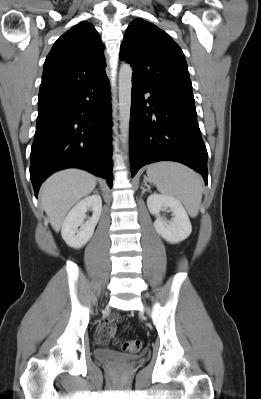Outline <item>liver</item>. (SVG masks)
<instances>
[{"label":"liver","instance_id":"obj_1","mask_svg":"<svg viewBox=\"0 0 261 399\" xmlns=\"http://www.w3.org/2000/svg\"><path fill=\"white\" fill-rule=\"evenodd\" d=\"M96 186V178L83 170L67 169L53 174L41 186L40 197L52 228L59 232L71 207Z\"/></svg>","mask_w":261,"mask_h":399}]
</instances>
